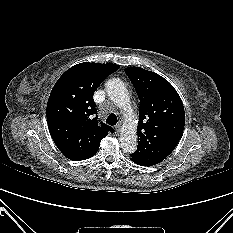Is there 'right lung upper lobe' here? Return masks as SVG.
Returning <instances> with one entry per match:
<instances>
[{"instance_id": "cb5924a9", "label": "right lung upper lobe", "mask_w": 233, "mask_h": 233, "mask_svg": "<svg viewBox=\"0 0 233 233\" xmlns=\"http://www.w3.org/2000/svg\"><path fill=\"white\" fill-rule=\"evenodd\" d=\"M115 64L80 63L68 69L54 85L47 103V122L58 149L67 158L80 161L94 156L101 140L113 128L98 125L93 94Z\"/></svg>"}]
</instances>
